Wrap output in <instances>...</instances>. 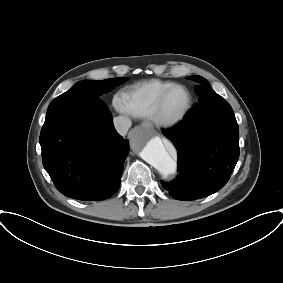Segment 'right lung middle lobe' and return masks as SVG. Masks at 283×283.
Returning <instances> with one entry per match:
<instances>
[{
	"label": "right lung middle lobe",
	"instance_id": "1",
	"mask_svg": "<svg viewBox=\"0 0 283 283\" xmlns=\"http://www.w3.org/2000/svg\"><path fill=\"white\" fill-rule=\"evenodd\" d=\"M126 78L106 79L102 81H81L70 90L55 98L48 107L47 114L62 108H76L99 100V96L108 93Z\"/></svg>",
	"mask_w": 283,
	"mask_h": 283
}]
</instances>
